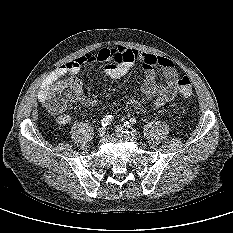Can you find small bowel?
<instances>
[{"label":"small bowel","instance_id":"c3829d8e","mask_svg":"<svg viewBox=\"0 0 233 233\" xmlns=\"http://www.w3.org/2000/svg\"><path fill=\"white\" fill-rule=\"evenodd\" d=\"M92 62H106L105 72L112 79L123 77L135 63H140L145 71V81L142 90L147 97L155 99V108L170 102L179 91L178 73L170 59L123 46L116 48L104 47L97 52L79 56L59 66L54 76L58 78L68 74H76L84 65ZM156 70H159L161 73L160 82L157 80ZM57 84L47 83L39 92V100L48 107L51 93ZM75 102L85 107H94L99 104V100L83 94H80ZM129 104L134 109H138L141 106L137 98H131ZM57 119L60 124H68L71 121L70 115L62 112L58 114Z\"/></svg>","mask_w":233,"mask_h":233}]
</instances>
